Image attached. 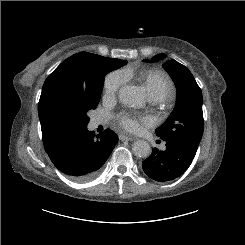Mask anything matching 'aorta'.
Wrapping results in <instances>:
<instances>
[{"label": "aorta", "mask_w": 245, "mask_h": 245, "mask_svg": "<svg viewBox=\"0 0 245 245\" xmlns=\"http://www.w3.org/2000/svg\"><path fill=\"white\" fill-rule=\"evenodd\" d=\"M120 101L131 107H142L144 105L143 92L135 86H124L119 91ZM135 156L147 158L151 154V147L145 140H137L132 145Z\"/></svg>", "instance_id": "762f6f07"}]
</instances>
